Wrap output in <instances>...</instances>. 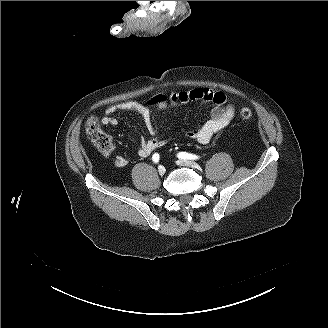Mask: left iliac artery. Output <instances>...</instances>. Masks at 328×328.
Listing matches in <instances>:
<instances>
[{"instance_id": "left-iliac-artery-1", "label": "left iliac artery", "mask_w": 328, "mask_h": 328, "mask_svg": "<svg viewBox=\"0 0 328 328\" xmlns=\"http://www.w3.org/2000/svg\"><path fill=\"white\" fill-rule=\"evenodd\" d=\"M177 156H178V158H181V159H189V160L197 159L198 158V156L189 154L187 152H180Z\"/></svg>"}]
</instances>
